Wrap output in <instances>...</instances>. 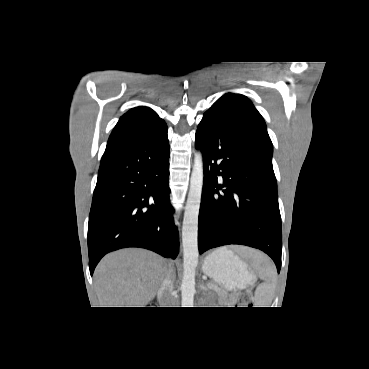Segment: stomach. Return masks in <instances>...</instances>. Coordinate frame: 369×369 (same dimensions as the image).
Wrapping results in <instances>:
<instances>
[{
  "mask_svg": "<svg viewBox=\"0 0 369 369\" xmlns=\"http://www.w3.org/2000/svg\"><path fill=\"white\" fill-rule=\"evenodd\" d=\"M202 269L216 283L230 291L244 289L256 279L248 265L226 247L206 256Z\"/></svg>",
  "mask_w": 369,
  "mask_h": 369,
  "instance_id": "obj_1",
  "label": "stomach"
}]
</instances>
